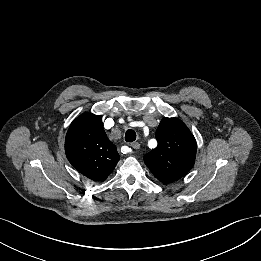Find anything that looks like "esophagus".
<instances>
[{"label": "esophagus", "instance_id": "34e87169", "mask_svg": "<svg viewBox=\"0 0 261 261\" xmlns=\"http://www.w3.org/2000/svg\"><path fill=\"white\" fill-rule=\"evenodd\" d=\"M131 147L133 149H139L140 148V144L138 142H133V143H131Z\"/></svg>", "mask_w": 261, "mask_h": 261}]
</instances>
